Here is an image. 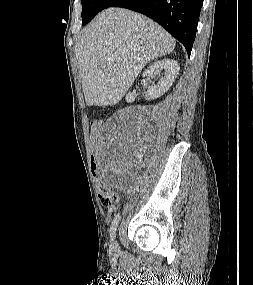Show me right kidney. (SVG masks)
I'll use <instances>...</instances> for the list:
<instances>
[{"label":"right kidney","mask_w":253,"mask_h":285,"mask_svg":"<svg viewBox=\"0 0 253 285\" xmlns=\"http://www.w3.org/2000/svg\"><path fill=\"white\" fill-rule=\"evenodd\" d=\"M178 62L173 59H162L152 63L143 73V77H152L156 72L164 71V76L157 84L148 87L145 94L146 100L157 99L169 90L179 72ZM134 96L129 93L126 96L127 102L134 101Z\"/></svg>","instance_id":"obj_1"}]
</instances>
